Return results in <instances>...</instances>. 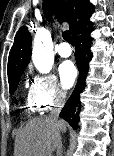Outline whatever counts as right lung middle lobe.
Returning a JSON list of instances; mask_svg holds the SVG:
<instances>
[{
  "label": "right lung middle lobe",
  "mask_w": 114,
  "mask_h": 156,
  "mask_svg": "<svg viewBox=\"0 0 114 156\" xmlns=\"http://www.w3.org/2000/svg\"><path fill=\"white\" fill-rule=\"evenodd\" d=\"M20 77H21V75H17V76H14V77L8 79L10 94H13L14 91L16 90Z\"/></svg>",
  "instance_id": "obj_1"
}]
</instances>
